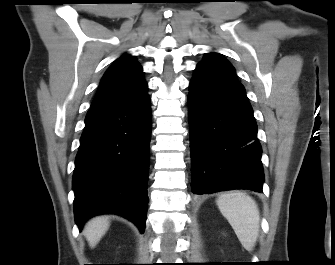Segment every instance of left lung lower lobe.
Masks as SVG:
<instances>
[{
	"mask_svg": "<svg viewBox=\"0 0 335 265\" xmlns=\"http://www.w3.org/2000/svg\"><path fill=\"white\" fill-rule=\"evenodd\" d=\"M189 89L192 191L262 192V149L243 85L235 75L197 66Z\"/></svg>",
	"mask_w": 335,
	"mask_h": 265,
	"instance_id": "left-lung-lower-lobe-1",
	"label": "left lung lower lobe"
}]
</instances>
